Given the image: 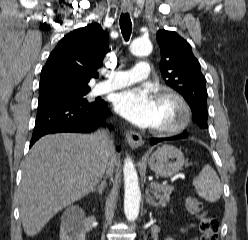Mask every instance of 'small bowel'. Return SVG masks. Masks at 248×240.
Masks as SVG:
<instances>
[{"mask_svg": "<svg viewBox=\"0 0 248 240\" xmlns=\"http://www.w3.org/2000/svg\"><path fill=\"white\" fill-rule=\"evenodd\" d=\"M191 227H192V226L181 229L180 233H181V234L186 233ZM193 240H198V238H194Z\"/></svg>", "mask_w": 248, "mask_h": 240, "instance_id": "obj_1", "label": "small bowel"}]
</instances>
